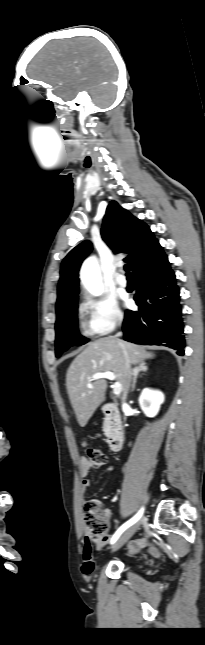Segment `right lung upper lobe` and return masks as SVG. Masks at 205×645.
<instances>
[{
  "label": "right lung upper lobe",
  "instance_id": "right-lung-upper-lobe-1",
  "mask_svg": "<svg viewBox=\"0 0 205 645\" xmlns=\"http://www.w3.org/2000/svg\"><path fill=\"white\" fill-rule=\"evenodd\" d=\"M101 234L113 251L130 254L126 260L132 264L134 273L165 254L147 225L115 201L107 207ZM91 250L92 243L86 240L72 249L63 260L58 285L57 314L78 298V271Z\"/></svg>",
  "mask_w": 205,
  "mask_h": 645
}]
</instances>
